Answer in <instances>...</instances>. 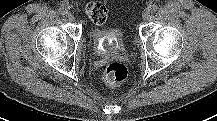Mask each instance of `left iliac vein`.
I'll use <instances>...</instances> for the list:
<instances>
[{
  "label": "left iliac vein",
  "mask_w": 217,
  "mask_h": 121,
  "mask_svg": "<svg viewBox=\"0 0 217 121\" xmlns=\"http://www.w3.org/2000/svg\"><path fill=\"white\" fill-rule=\"evenodd\" d=\"M150 14H151L150 10H149V9H145V10L143 11V13H142V18H143V20H148L149 17H150Z\"/></svg>",
  "instance_id": "left-iliac-vein-1"
}]
</instances>
